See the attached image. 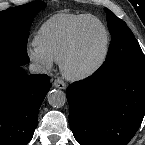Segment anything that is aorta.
Wrapping results in <instances>:
<instances>
[{
  "mask_svg": "<svg viewBox=\"0 0 145 145\" xmlns=\"http://www.w3.org/2000/svg\"><path fill=\"white\" fill-rule=\"evenodd\" d=\"M47 98H48L49 104L54 108H60L64 106L67 100L66 94L63 91L58 90V89H53L49 91Z\"/></svg>",
  "mask_w": 145,
  "mask_h": 145,
  "instance_id": "762f6f07",
  "label": "aorta"
}]
</instances>
